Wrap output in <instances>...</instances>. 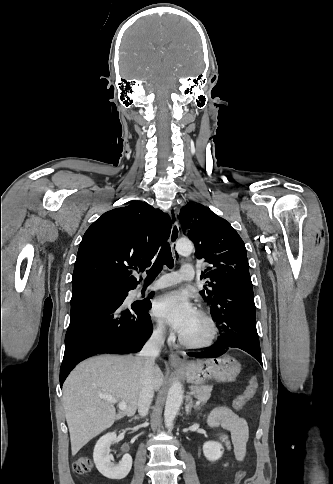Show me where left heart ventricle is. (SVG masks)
<instances>
[{
    "label": "left heart ventricle",
    "mask_w": 333,
    "mask_h": 484,
    "mask_svg": "<svg viewBox=\"0 0 333 484\" xmlns=\"http://www.w3.org/2000/svg\"><path fill=\"white\" fill-rule=\"evenodd\" d=\"M208 333L206 321L197 314L181 335L189 341L200 342L208 336Z\"/></svg>",
    "instance_id": "b2bd125f"
}]
</instances>
